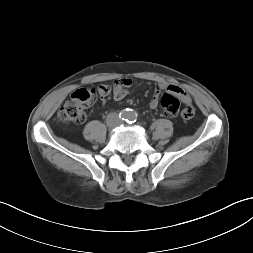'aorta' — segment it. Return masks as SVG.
Returning a JSON list of instances; mask_svg holds the SVG:
<instances>
[{
	"label": "aorta",
	"mask_w": 253,
	"mask_h": 253,
	"mask_svg": "<svg viewBox=\"0 0 253 253\" xmlns=\"http://www.w3.org/2000/svg\"><path fill=\"white\" fill-rule=\"evenodd\" d=\"M126 115H127V118L130 119V120L135 118L134 112L129 111V112H127Z\"/></svg>",
	"instance_id": "762f6f07"
}]
</instances>
